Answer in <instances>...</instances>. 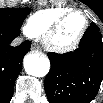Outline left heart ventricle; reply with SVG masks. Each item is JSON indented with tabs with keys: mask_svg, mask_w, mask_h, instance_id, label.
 Here are the masks:
<instances>
[{
	"mask_svg": "<svg viewBox=\"0 0 103 103\" xmlns=\"http://www.w3.org/2000/svg\"><path fill=\"white\" fill-rule=\"evenodd\" d=\"M84 23L83 15L74 14L70 16L55 33L53 42L57 45H66L73 42L81 33Z\"/></svg>",
	"mask_w": 103,
	"mask_h": 103,
	"instance_id": "1",
	"label": "left heart ventricle"
}]
</instances>
